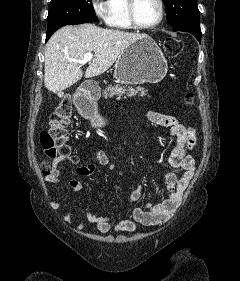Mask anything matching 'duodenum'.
I'll use <instances>...</instances> for the list:
<instances>
[{
  "mask_svg": "<svg viewBox=\"0 0 240 281\" xmlns=\"http://www.w3.org/2000/svg\"><path fill=\"white\" fill-rule=\"evenodd\" d=\"M99 91L96 87L86 86L83 88L80 104L84 105L89 100H94L98 97Z\"/></svg>",
  "mask_w": 240,
  "mask_h": 281,
  "instance_id": "obj_1",
  "label": "duodenum"
}]
</instances>
